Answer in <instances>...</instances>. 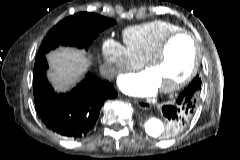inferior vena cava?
Masks as SVG:
<instances>
[{
  "label": "inferior vena cava",
  "mask_w": 240,
  "mask_h": 160,
  "mask_svg": "<svg viewBox=\"0 0 240 160\" xmlns=\"http://www.w3.org/2000/svg\"><path fill=\"white\" fill-rule=\"evenodd\" d=\"M100 73L105 78L111 79L117 74V70L114 67H102Z\"/></svg>",
  "instance_id": "602c4592"
}]
</instances>
